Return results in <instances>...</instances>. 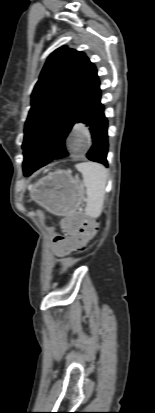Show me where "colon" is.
I'll use <instances>...</instances> for the list:
<instances>
[{
  "label": "colon",
  "mask_w": 155,
  "mask_h": 413,
  "mask_svg": "<svg viewBox=\"0 0 155 413\" xmlns=\"http://www.w3.org/2000/svg\"><path fill=\"white\" fill-rule=\"evenodd\" d=\"M63 227L70 235H57L53 246L58 248L61 258H69L71 252H81L90 242V238L96 233L97 224L93 218L80 214H70L62 221Z\"/></svg>",
  "instance_id": "colon-1"
}]
</instances>
